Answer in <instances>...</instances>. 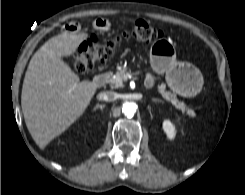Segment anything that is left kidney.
Masks as SVG:
<instances>
[{
  "label": "left kidney",
  "mask_w": 245,
  "mask_h": 195,
  "mask_svg": "<svg viewBox=\"0 0 245 195\" xmlns=\"http://www.w3.org/2000/svg\"><path fill=\"white\" fill-rule=\"evenodd\" d=\"M163 130L165 131L169 139H174L176 135V130L174 125L169 120H165L163 122Z\"/></svg>",
  "instance_id": "obj_1"
}]
</instances>
